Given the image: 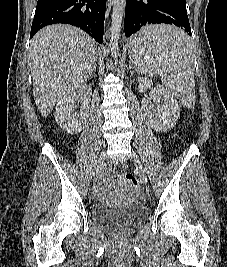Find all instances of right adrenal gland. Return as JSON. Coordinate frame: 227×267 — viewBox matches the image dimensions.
<instances>
[{
  "mask_svg": "<svg viewBox=\"0 0 227 267\" xmlns=\"http://www.w3.org/2000/svg\"><path fill=\"white\" fill-rule=\"evenodd\" d=\"M94 72H96V64H94L93 69H92L91 73L89 74V77H88L89 79H90L91 75H92Z\"/></svg>",
  "mask_w": 227,
  "mask_h": 267,
  "instance_id": "1",
  "label": "right adrenal gland"
}]
</instances>
